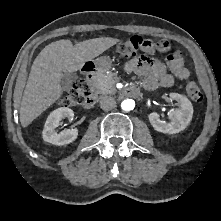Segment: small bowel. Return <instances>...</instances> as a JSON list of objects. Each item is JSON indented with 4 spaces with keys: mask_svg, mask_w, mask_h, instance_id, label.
Segmentation results:
<instances>
[{
    "mask_svg": "<svg viewBox=\"0 0 221 221\" xmlns=\"http://www.w3.org/2000/svg\"><path fill=\"white\" fill-rule=\"evenodd\" d=\"M158 41L162 42L161 47L155 46L153 42L152 45L144 47L142 50L146 53L165 52L167 65L143 55L129 60L125 65V71L140 76L142 85L148 90H154L158 87H170L175 80H186L190 75L181 58V52L169 48L165 40Z\"/></svg>",
    "mask_w": 221,
    "mask_h": 221,
    "instance_id": "1",
    "label": "small bowel"
}]
</instances>
